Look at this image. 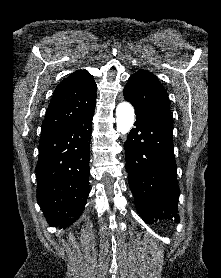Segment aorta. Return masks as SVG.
Masks as SVG:
<instances>
[{
    "instance_id": "762f6f07",
    "label": "aorta",
    "mask_w": 221,
    "mask_h": 278,
    "mask_svg": "<svg viewBox=\"0 0 221 278\" xmlns=\"http://www.w3.org/2000/svg\"><path fill=\"white\" fill-rule=\"evenodd\" d=\"M135 120L134 109L128 102L120 103L116 108V123L117 130L121 134L128 133Z\"/></svg>"
}]
</instances>
